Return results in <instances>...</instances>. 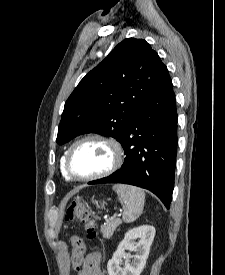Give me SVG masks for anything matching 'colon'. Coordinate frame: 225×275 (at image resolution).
<instances>
[{"mask_svg": "<svg viewBox=\"0 0 225 275\" xmlns=\"http://www.w3.org/2000/svg\"><path fill=\"white\" fill-rule=\"evenodd\" d=\"M66 221L78 220L84 224L87 237L93 239L96 237L95 218L88 206L81 200H72L65 211ZM72 254L71 263L76 269H79L83 262L84 246L83 240L79 236L71 238Z\"/></svg>", "mask_w": 225, "mask_h": 275, "instance_id": "colon-1", "label": "colon"}]
</instances>
